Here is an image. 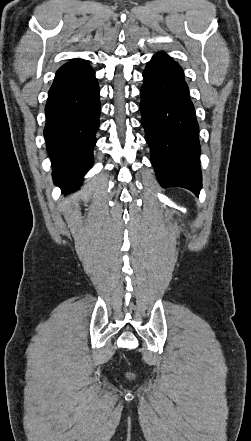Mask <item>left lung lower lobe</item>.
Wrapping results in <instances>:
<instances>
[{"mask_svg": "<svg viewBox=\"0 0 251 441\" xmlns=\"http://www.w3.org/2000/svg\"><path fill=\"white\" fill-rule=\"evenodd\" d=\"M142 126L157 179L163 187H183L196 195L202 187L199 126L180 65L164 53L143 72Z\"/></svg>", "mask_w": 251, "mask_h": 441, "instance_id": "obj_1", "label": "left lung lower lobe"}]
</instances>
